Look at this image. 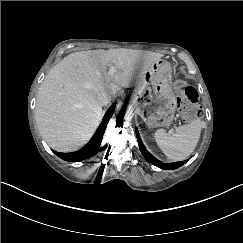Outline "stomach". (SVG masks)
<instances>
[{"mask_svg": "<svg viewBox=\"0 0 243 243\" xmlns=\"http://www.w3.org/2000/svg\"><path fill=\"white\" fill-rule=\"evenodd\" d=\"M170 71L160 59L137 78L131 101L149 128L168 126L174 119L177 99L169 84Z\"/></svg>", "mask_w": 243, "mask_h": 243, "instance_id": "1", "label": "stomach"}]
</instances>
